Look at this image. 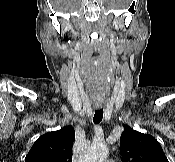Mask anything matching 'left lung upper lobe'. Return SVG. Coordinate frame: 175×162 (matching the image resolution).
<instances>
[{"mask_svg": "<svg viewBox=\"0 0 175 162\" xmlns=\"http://www.w3.org/2000/svg\"><path fill=\"white\" fill-rule=\"evenodd\" d=\"M123 162H168L160 143L151 135L124 126L120 137Z\"/></svg>", "mask_w": 175, "mask_h": 162, "instance_id": "obj_1", "label": "left lung upper lobe"}]
</instances>
